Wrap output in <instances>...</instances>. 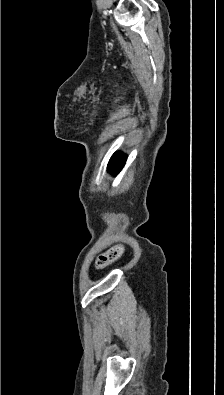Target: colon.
<instances>
[{
	"label": "colon",
	"instance_id": "1",
	"mask_svg": "<svg viewBox=\"0 0 224 395\" xmlns=\"http://www.w3.org/2000/svg\"><path fill=\"white\" fill-rule=\"evenodd\" d=\"M123 253H124V245L119 244L99 254L95 262L96 269L98 270L104 269L114 261L118 260Z\"/></svg>",
	"mask_w": 224,
	"mask_h": 395
}]
</instances>
